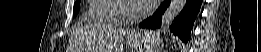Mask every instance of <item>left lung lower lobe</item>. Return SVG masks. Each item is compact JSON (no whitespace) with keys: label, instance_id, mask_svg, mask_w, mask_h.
<instances>
[{"label":"left lung lower lobe","instance_id":"left-lung-lower-lobe-1","mask_svg":"<svg viewBox=\"0 0 261 52\" xmlns=\"http://www.w3.org/2000/svg\"><path fill=\"white\" fill-rule=\"evenodd\" d=\"M171 0H165L156 12L139 24L140 28L156 29L161 26L162 14L169 6ZM202 0H187L185 7L170 25V31L178 36L182 42L187 43L190 38L194 21L200 11Z\"/></svg>","mask_w":261,"mask_h":52}]
</instances>
